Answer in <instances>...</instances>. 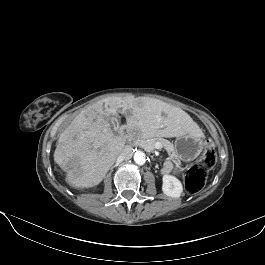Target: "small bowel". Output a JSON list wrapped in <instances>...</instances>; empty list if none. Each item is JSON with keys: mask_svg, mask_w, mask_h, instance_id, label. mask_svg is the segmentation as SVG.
<instances>
[{"mask_svg": "<svg viewBox=\"0 0 265 265\" xmlns=\"http://www.w3.org/2000/svg\"><path fill=\"white\" fill-rule=\"evenodd\" d=\"M174 168V164L170 160H166L162 167V173L167 174L170 173Z\"/></svg>", "mask_w": 265, "mask_h": 265, "instance_id": "c3829d8e", "label": "small bowel"}]
</instances>
